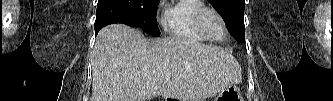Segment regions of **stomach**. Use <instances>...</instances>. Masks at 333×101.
<instances>
[{
	"instance_id": "0dacf381",
	"label": "stomach",
	"mask_w": 333,
	"mask_h": 101,
	"mask_svg": "<svg viewBox=\"0 0 333 101\" xmlns=\"http://www.w3.org/2000/svg\"><path fill=\"white\" fill-rule=\"evenodd\" d=\"M214 101H244L240 89L235 85H231L223 89Z\"/></svg>"
}]
</instances>
